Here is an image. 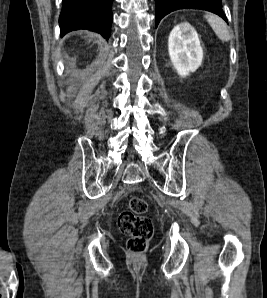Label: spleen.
<instances>
[{"mask_svg":"<svg viewBox=\"0 0 267 298\" xmlns=\"http://www.w3.org/2000/svg\"><path fill=\"white\" fill-rule=\"evenodd\" d=\"M204 17L221 41L228 42L230 40L228 26L222 18L214 14H207Z\"/></svg>","mask_w":267,"mask_h":298,"instance_id":"3e777b00","label":"spleen"}]
</instances>
